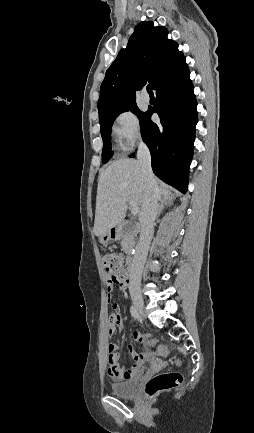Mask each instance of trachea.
Wrapping results in <instances>:
<instances>
[{"label":"trachea","instance_id":"1","mask_svg":"<svg viewBox=\"0 0 254 433\" xmlns=\"http://www.w3.org/2000/svg\"><path fill=\"white\" fill-rule=\"evenodd\" d=\"M147 92H148L150 95L153 94L152 86H151V85H147Z\"/></svg>","mask_w":254,"mask_h":433}]
</instances>
